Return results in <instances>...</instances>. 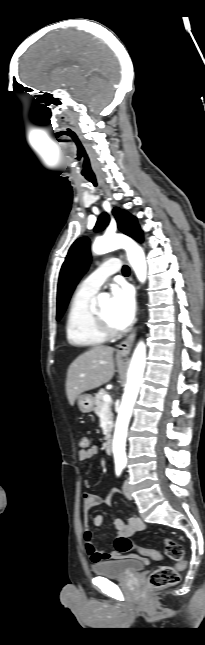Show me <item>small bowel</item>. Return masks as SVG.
<instances>
[{
    "label": "small bowel",
    "instance_id": "small-bowel-1",
    "mask_svg": "<svg viewBox=\"0 0 205 645\" xmlns=\"http://www.w3.org/2000/svg\"><path fill=\"white\" fill-rule=\"evenodd\" d=\"M99 450L96 446H91L88 450H80L78 453V459L81 462L87 461L95 456H97ZM119 494V490L114 488L110 491L105 499H102L100 496L95 494L85 492L82 495L83 501V510L85 516L93 507L99 506L102 503H105L107 506L111 507L113 502V497ZM104 520V514L99 513L93 518V525L95 527H100ZM113 524L117 533V537H128L131 538L137 532L144 530L145 523L136 515H131L127 520H123L120 517H114ZM84 544L86 551L93 563H98L101 561L117 560L124 558L122 553H119L115 548L111 551H101L96 548L93 543V531L85 523L84 526ZM116 537V538H117ZM115 541V540H114ZM128 557L147 562L148 559L136 554H130Z\"/></svg>",
    "mask_w": 205,
    "mask_h": 645
}]
</instances>
